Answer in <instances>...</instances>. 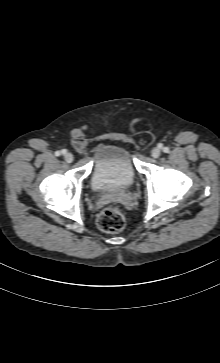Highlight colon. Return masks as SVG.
<instances>
[{"mask_svg":"<svg viewBox=\"0 0 220 363\" xmlns=\"http://www.w3.org/2000/svg\"><path fill=\"white\" fill-rule=\"evenodd\" d=\"M98 227L106 233H118L125 226V218L120 209L108 207L100 212L97 217Z\"/></svg>","mask_w":220,"mask_h":363,"instance_id":"5ec220e1","label":"colon"}]
</instances>
